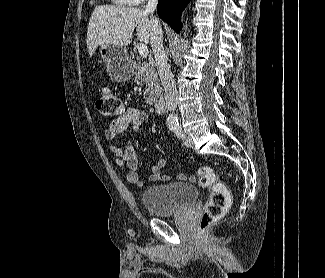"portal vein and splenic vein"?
<instances>
[{
    "label": "portal vein and splenic vein",
    "instance_id": "obj_1",
    "mask_svg": "<svg viewBox=\"0 0 325 278\" xmlns=\"http://www.w3.org/2000/svg\"><path fill=\"white\" fill-rule=\"evenodd\" d=\"M137 49L142 58H147L148 56V48L147 45L144 43H138L137 44Z\"/></svg>",
    "mask_w": 325,
    "mask_h": 278
}]
</instances>
